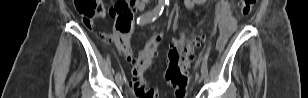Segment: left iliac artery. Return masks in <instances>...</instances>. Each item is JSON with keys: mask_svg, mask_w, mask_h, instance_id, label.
Wrapping results in <instances>:
<instances>
[{"mask_svg": "<svg viewBox=\"0 0 308 98\" xmlns=\"http://www.w3.org/2000/svg\"><path fill=\"white\" fill-rule=\"evenodd\" d=\"M210 37V36H209ZM207 57V55H206ZM207 59V58H206ZM201 72L204 73V74H207L208 70H207V65H206V62L204 61L203 64H202V69H201Z\"/></svg>", "mask_w": 308, "mask_h": 98, "instance_id": "1", "label": "left iliac artery"}]
</instances>
